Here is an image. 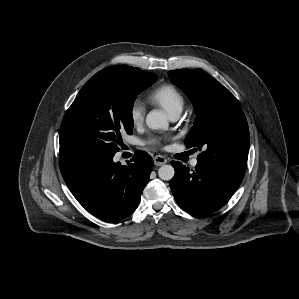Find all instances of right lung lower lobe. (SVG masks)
Segmentation results:
<instances>
[{
  "label": "right lung lower lobe",
  "instance_id": "98d812e1",
  "mask_svg": "<svg viewBox=\"0 0 299 299\" xmlns=\"http://www.w3.org/2000/svg\"><path fill=\"white\" fill-rule=\"evenodd\" d=\"M115 154L60 148L61 174L78 202L94 216L119 221L136 210L153 168L151 156L136 151L128 165Z\"/></svg>",
  "mask_w": 299,
  "mask_h": 299
}]
</instances>
